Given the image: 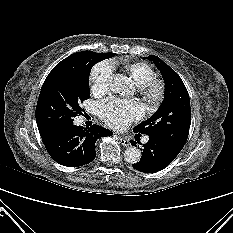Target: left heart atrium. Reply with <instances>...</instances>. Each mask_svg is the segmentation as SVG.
<instances>
[{
  "label": "left heart atrium",
  "mask_w": 233,
  "mask_h": 233,
  "mask_svg": "<svg viewBox=\"0 0 233 233\" xmlns=\"http://www.w3.org/2000/svg\"><path fill=\"white\" fill-rule=\"evenodd\" d=\"M143 112L142 105L135 100L109 98L98 105L101 119L116 129H122L130 122L140 119Z\"/></svg>",
  "instance_id": "1"
}]
</instances>
